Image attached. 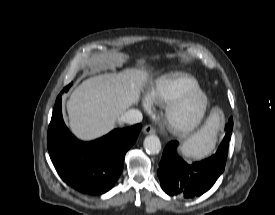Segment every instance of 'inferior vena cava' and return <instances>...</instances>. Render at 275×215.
Here are the masks:
<instances>
[{
	"label": "inferior vena cava",
	"instance_id": "inferior-vena-cava-1",
	"mask_svg": "<svg viewBox=\"0 0 275 215\" xmlns=\"http://www.w3.org/2000/svg\"><path fill=\"white\" fill-rule=\"evenodd\" d=\"M121 122L133 125L142 121V113L137 109H130L120 117Z\"/></svg>",
	"mask_w": 275,
	"mask_h": 215
}]
</instances>
